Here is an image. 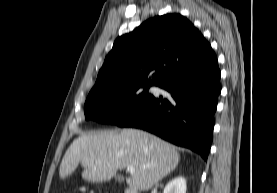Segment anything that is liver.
<instances>
[{
    "label": "liver",
    "instance_id": "1",
    "mask_svg": "<svg viewBox=\"0 0 277 193\" xmlns=\"http://www.w3.org/2000/svg\"><path fill=\"white\" fill-rule=\"evenodd\" d=\"M180 154L170 143L148 132L123 128L91 132L79 136L67 149L59 168V176H70L79 164L82 178L90 182L108 181L118 169L135 168L126 178L134 190L147 191L171 173Z\"/></svg>",
    "mask_w": 277,
    "mask_h": 193
}]
</instances>
